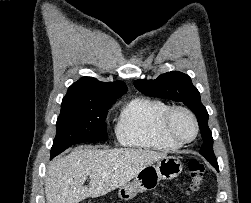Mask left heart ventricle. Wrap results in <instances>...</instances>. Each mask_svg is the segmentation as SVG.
Returning a JSON list of instances; mask_svg holds the SVG:
<instances>
[{
	"instance_id": "left-heart-ventricle-1",
	"label": "left heart ventricle",
	"mask_w": 251,
	"mask_h": 203,
	"mask_svg": "<svg viewBox=\"0 0 251 203\" xmlns=\"http://www.w3.org/2000/svg\"><path fill=\"white\" fill-rule=\"evenodd\" d=\"M172 129L179 137L184 139L191 138L195 131L193 121L183 112H176L173 116Z\"/></svg>"
}]
</instances>
